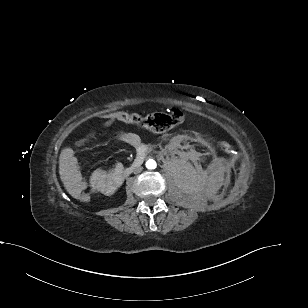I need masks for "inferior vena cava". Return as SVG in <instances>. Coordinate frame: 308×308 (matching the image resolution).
Wrapping results in <instances>:
<instances>
[{"instance_id":"obj_1","label":"inferior vena cava","mask_w":308,"mask_h":308,"mask_svg":"<svg viewBox=\"0 0 308 308\" xmlns=\"http://www.w3.org/2000/svg\"><path fill=\"white\" fill-rule=\"evenodd\" d=\"M142 171V168L141 167H137L136 169H135V173H140Z\"/></svg>"}]
</instances>
